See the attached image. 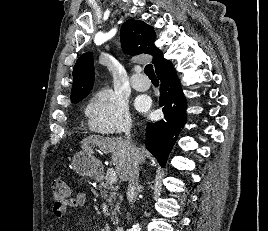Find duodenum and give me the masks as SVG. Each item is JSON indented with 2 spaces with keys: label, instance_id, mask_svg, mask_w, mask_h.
Returning <instances> with one entry per match:
<instances>
[{
  "label": "duodenum",
  "instance_id": "obj_1",
  "mask_svg": "<svg viewBox=\"0 0 268 231\" xmlns=\"http://www.w3.org/2000/svg\"><path fill=\"white\" fill-rule=\"evenodd\" d=\"M115 231H124V230H123V228L118 227V228H116V230H115Z\"/></svg>",
  "mask_w": 268,
  "mask_h": 231
}]
</instances>
